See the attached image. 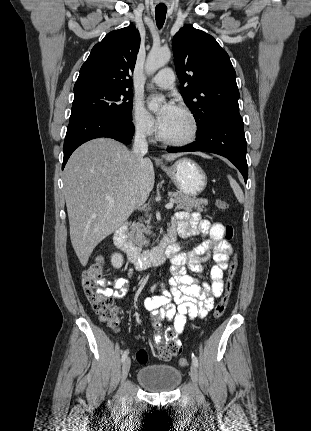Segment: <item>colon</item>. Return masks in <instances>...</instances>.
Instances as JSON below:
<instances>
[{
	"instance_id": "obj_1",
	"label": "colon",
	"mask_w": 311,
	"mask_h": 431,
	"mask_svg": "<svg viewBox=\"0 0 311 431\" xmlns=\"http://www.w3.org/2000/svg\"><path fill=\"white\" fill-rule=\"evenodd\" d=\"M216 207L221 211H226L229 208L228 202L218 199L215 202ZM235 235V230L232 225L225 227V237L227 240H232ZM238 268L237 258L234 256L227 270V278L224 286L223 294L217 303L213 316L220 318L229 303L233 287L236 271ZM103 274V258L98 257L83 273L82 283L85 294L92 304V307L99 318L109 327L117 330L120 326L121 319L117 307L112 299L103 293L101 287V278ZM181 351V345L176 340L160 339L157 340L154 346V355L163 360H169L176 356ZM137 361L141 364L146 363L147 353L144 349L137 352ZM180 366H186L187 360L181 358L178 361Z\"/></svg>"
}]
</instances>
